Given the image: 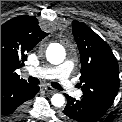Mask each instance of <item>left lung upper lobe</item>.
<instances>
[{
	"mask_svg": "<svg viewBox=\"0 0 122 122\" xmlns=\"http://www.w3.org/2000/svg\"><path fill=\"white\" fill-rule=\"evenodd\" d=\"M72 31L81 59L82 98L110 108L119 90V66L109 45L84 23L73 21Z\"/></svg>",
	"mask_w": 122,
	"mask_h": 122,
	"instance_id": "left-lung-upper-lobe-1",
	"label": "left lung upper lobe"
}]
</instances>
